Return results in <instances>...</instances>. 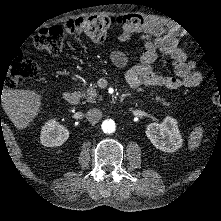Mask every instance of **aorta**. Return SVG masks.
<instances>
[{"label":"aorta","instance_id":"aorta-1","mask_svg":"<svg viewBox=\"0 0 221 221\" xmlns=\"http://www.w3.org/2000/svg\"><path fill=\"white\" fill-rule=\"evenodd\" d=\"M116 124L112 119H106L102 123V130L106 134H111L115 131Z\"/></svg>","mask_w":221,"mask_h":221}]
</instances>
